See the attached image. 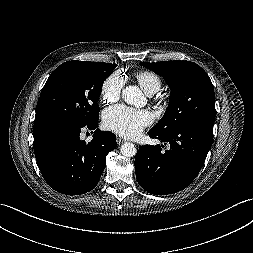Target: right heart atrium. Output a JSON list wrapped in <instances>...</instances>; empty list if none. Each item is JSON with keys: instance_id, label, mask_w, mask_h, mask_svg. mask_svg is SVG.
<instances>
[{"instance_id": "1", "label": "right heart atrium", "mask_w": 253, "mask_h": 253, "mask_svg": "<svg viewBox=\"0 0 253 253\" xmlns=\"http://www.w3.org/2000/svg\"><path fill=\"white\" fill-rule=\"evenodd\" d=\"M123 78L120 74L114 73L108 76L101 86V99L105 103L116 102L121 95Z\"/></svg>"}]
</instances>
